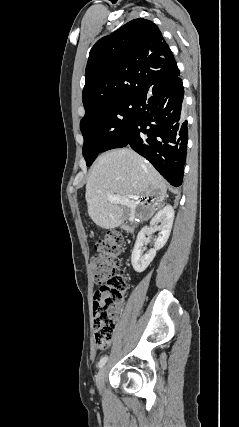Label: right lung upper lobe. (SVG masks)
Here are the masks:
<instances>
[{
	"instance_id": "obj_1",
	"label": "right lung upper lobe",
	"mask_w": 239,
	"mask_h": 427,
	"mask_svg": "<svg viewBox=\"0 0 239 427\" xmlns=\"http://www.w3.org/2000/svg\"><path fill=\"white\" fill-rule=\"evenodd\" d=\"M179 74L158 27L134 19L92 47L85 72V112L114 99L136 98L143 90Z\"/></svg>"
}]
</instances>
